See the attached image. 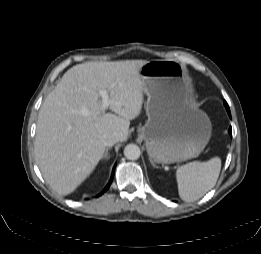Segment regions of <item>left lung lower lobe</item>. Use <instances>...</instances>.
<instances>
[{"label": "left lung lower lobe", "mask_w": 261, "mask_h": 254, "mask_svg": "<svg viewBox=\"0 0 261 254\" xmlns=\"http://www.w3.org/2000/svg\"><path fill=\"white\" fill-rule=\"evenodd\" d=\"M229 116H231L230 111L228 112ZM229 133L232 135V128H229Z\"/></svg>", "instance_id": "left-lung-lower-lobe-1"}]
</instances>
